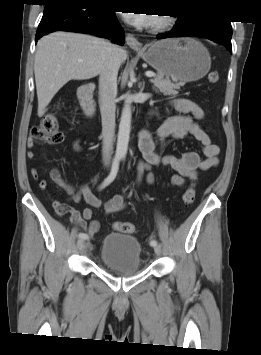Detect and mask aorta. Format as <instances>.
<instances>
[{"label":"aorta","mask_w":261,"mask_h":355,"mask_svg":"<svg viewBox=\"0 0 261 355\" xmlns=\"http://www.w3.org/2000/svg\"><path fill=\"white\" fill-rule=\"evenodd\" d=\"M131 102L126 101L122 110L117 137L116 156L124 158L127 154L131 130Z\"/></svg>","instance_id":"aorta-1"}]
</instances>
